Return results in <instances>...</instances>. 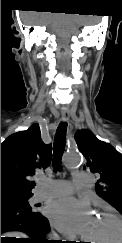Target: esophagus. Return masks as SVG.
Masks as SVG:
<instances>
[{
    "instance_id": "1",
    "label": "esophagus",
    "mask_w": 122,
    "mask_h": 243,
    "mask_svg": "<svg viewBox=\"0 0 122 243\" xmlns=\"http://www.w3.org/2000/svg\"><path fill=\"white\" fill-rule=\"evenodd\" d=\"M61 116H62L63 121H68L69 117H70V113L68 110H62Z\"/></svg>"
}]
</instances>
